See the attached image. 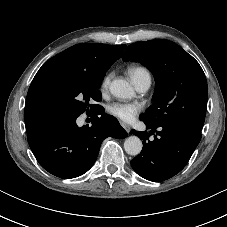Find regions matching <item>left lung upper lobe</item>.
<instances>
[{"mask_svg":"<svg viewBox=\"0 0 227 227\" xmlns=\"http://www.w3.org/2000/svg\"><path fill=\"white\" fill-rule=\"evenodd\" d=\"M122 59L143 64L155 78L154 103L140 116L142 121L154 126L181 124L201 132L208 87L201 66L191 55L174 42L157 39L131 44Z\"/></svg>","mask_w":227,"mask_h":227,"instance_id":"1","label":"left lung upper lobe"}]
</instances>
